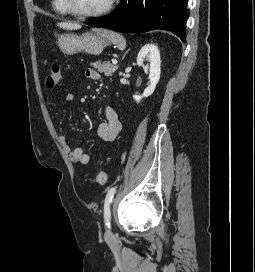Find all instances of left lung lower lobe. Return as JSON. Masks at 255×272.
Here are the masks:
<instances>
[{
	"instance_id": "1",
	"label": "left lung lower lobe",
	"mask_w": 255,
	"mask_h": 272,
	"mask_svg": "<svg viewBox=\"0 0 255 272\" xmlns=\"http://www.w3.org/2000/svg\"><path fill=\"white\" fill-rule=\"evenodd\" d=\"M188 0H121L108 16L85 22L124 33H142L165 29L185 42Z\"/></svg>"
}]
</instances>
